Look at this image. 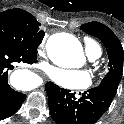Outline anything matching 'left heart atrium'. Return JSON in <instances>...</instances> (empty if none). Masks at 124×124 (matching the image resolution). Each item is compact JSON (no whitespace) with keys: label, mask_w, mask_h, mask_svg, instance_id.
Segmentation results:
<instances>
[{"label":"left heart atrium","mask_w":124,"mask_h":124,"mask_svg":"<svg viewBox=\"0 0 124 124\" xmlns=\"http://www.w3.org/2000/svg\"><path fill=\"white\" fill-rule=\"evenodd\" d=\"M48 75L59 86L67 89L86 88L91 83L90 74L84 70L50 68Z\"/></svg>","instance_id":"1"}]
</instances>
